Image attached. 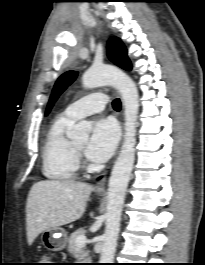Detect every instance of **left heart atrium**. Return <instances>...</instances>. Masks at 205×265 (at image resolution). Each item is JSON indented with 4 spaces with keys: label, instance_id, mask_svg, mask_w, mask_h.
Instances as JSON below:
<instances>
[{
    "label": "left heart atrium",
    "instance_id": "obj_1",
    "mask_svg": "<svg viewBox=\"0 0 205 265\" xmlns=\"http://www.w3.org/2000/svg\"><path fill=\"white\" fill-rule=\"evenodd\" d=\"M118 139L119 130L112 119L98 120L86 145V156L94 162L106 161L114 152Z\"/></svg>",
    "mask_w": 205,
    "mask_h": 265
}]
</instances>
